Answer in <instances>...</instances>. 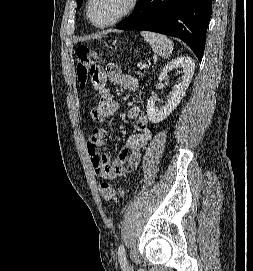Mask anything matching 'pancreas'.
<instances>
[{"instance_id":"pancreas-1","label":"pancreas","mask_w":253,"mask_h":271,"mask_svg":"<svg viewBox=\"0 0 253 271\" xmlns=\"http://www.w3.org/2000/svg\"><path fill=\"white\" fill-rule=\"evenodd\" d=\"M138 75L142 76V73L141 72H137Z\"/></svg>"}]
</instances>
